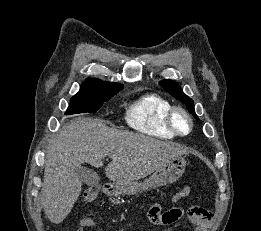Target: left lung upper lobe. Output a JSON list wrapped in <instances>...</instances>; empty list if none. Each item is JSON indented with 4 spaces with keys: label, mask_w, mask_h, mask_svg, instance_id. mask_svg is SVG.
<instances>
[{
    "label": "left lung upper lobe",
    "mask_w": 261,
    "mask_h": 231,
    "mask_svg": "<svg viewBox=\"0 0 261 231\" xmlns=\"http://www.w3.org/2000/svg\"><path fill=\"white\" fill-rule=\"evenodd\" d=\"M160 85L173 97L185 103L189 112L195 118H197V115L195 114L194 110L193 101L183 93L182 89L180 88V86L177 85V83L170 80H163L160 82Z\"/></svg>",
    "instance_id": "left-lung-upper-lobe-1"
}]
</instances>
